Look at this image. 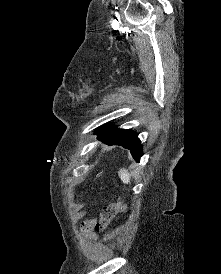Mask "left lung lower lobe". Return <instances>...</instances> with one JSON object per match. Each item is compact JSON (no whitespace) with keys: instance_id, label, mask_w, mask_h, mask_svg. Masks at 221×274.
<instances>
[{"instance_id":"left-lung-lower-lobe-1","label":"left lung lower lobe","mask_w":221,"mask_h":274,"mask_svg":"<svg viewBox=\"0 0 221 274\" xmlns=\"http://www.w3.org/2000/svg\"><path fill=\"white\" fill-rule=\"evenodd\" d=\"M96 134L107 145H119L129 149L133 158L137 161L143 155L138 134L134 131L118 129L113 125L104 124L96 130Z\"/></svg>"}]
</instances>
